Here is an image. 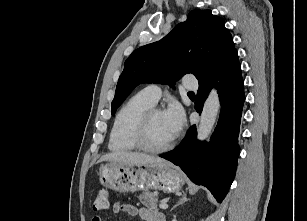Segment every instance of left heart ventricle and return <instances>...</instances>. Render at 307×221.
<instances>
[{
  "label": "left heart ventricle",
  "instance_id": "b2bd125f",
  "mask_svg": "<svg viewBox=\"0 0 307 221\" xmlns=\"http://www.w3.org/2000/svg\"><path fill=\"white\" fill-rule=\"evenodd\" d=\"M173 138L164 112L156 113L150 122L147 141L152 146H162Z\"/></svg>",
  "mask_w": 307,
  "mask_h": 221
}]
</instances>
